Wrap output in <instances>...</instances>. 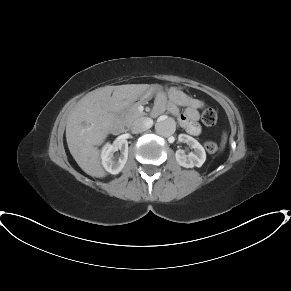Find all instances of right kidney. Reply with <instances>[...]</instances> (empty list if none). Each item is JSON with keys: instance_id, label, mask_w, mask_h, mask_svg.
I'll use <instances>...</instances> for the list:
<instances>
[{"instance_id": "right-kidney-1", "label": "right kidney", "mask_w": 291, "mask_h": 291, "mask_svg": "<svg viewBox=\"0 0 291 291\" xmlns=\"http://www.w3.org/2000/svg\"><path fill=\"white\" fill-rule=\"evenodd\" d=\"M121 150L118 158L114 152ZM128 159V142L126 140L114 141L112 144H105L101 151V160L104 169L111 174H118L124 168Z\"/></svg>"}]
</instances>
